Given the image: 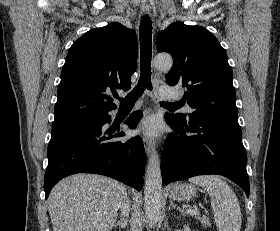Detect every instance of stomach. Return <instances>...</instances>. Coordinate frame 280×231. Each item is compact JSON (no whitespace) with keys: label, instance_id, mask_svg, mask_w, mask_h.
<instances>
[{"label":"stomach","instance_id":"1","mask_svg":"<svg viewBox=\"0 0 280 231\" xmlns=\"http://www.w3.org/2000/svg\"><path fill=\"white\" fill-rule=\"evenodd\" d=\"M171 199L176 201H190L197 195V187L193 183H174L169 191Z\"/></svg>","mask_w":280,"mask_h":231}]
</instances>
